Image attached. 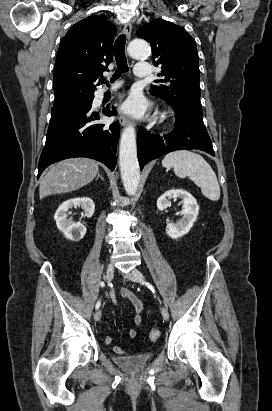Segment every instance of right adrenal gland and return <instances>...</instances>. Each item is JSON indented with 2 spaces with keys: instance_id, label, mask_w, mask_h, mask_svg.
<instances>
[{
  "instance_id": "obj_1",
  "label": "right adrenal gland",
  "mask_w": 272,
  "mask_h": 411,
  "mask_svg": "<svg viewBox=\"0 0 272 411\" xmlns=\"http://www.w3.org/2000/svg\"><path fill=\"white\" fill-rule=\"evenodd\" d=\"M99 178L104 181V178H103V177L101 176V174L98 172V175H97V177H96V180H98Z\"/></svg>"
}]
</instances>
